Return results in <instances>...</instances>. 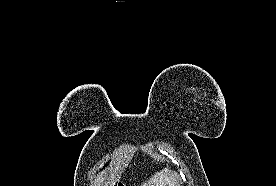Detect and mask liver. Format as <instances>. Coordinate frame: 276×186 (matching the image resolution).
<instances>
[{
  "instance_id": "obj_1",
  "label": "liver",
  "mask_w": 276,
  "mask_h": 186,
  "mask_svg": "<svg viewBox=\"0 0 276 186\" xmlns=\"http://www.w3.org/2000/svg\"><path fill=\"white\" fill-rule=\"evenodd\" d=\"M167 172H168V169H164L163 171L156 173L148 181V183L143 184V186H163L164 179H165Z\"/></svg>"
}]
</instances>
